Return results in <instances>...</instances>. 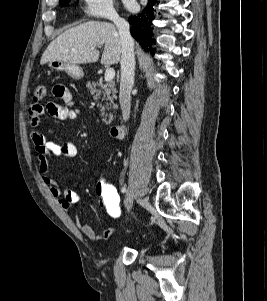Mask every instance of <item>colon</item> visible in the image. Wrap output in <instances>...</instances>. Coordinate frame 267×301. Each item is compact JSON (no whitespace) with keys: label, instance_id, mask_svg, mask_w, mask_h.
Segmentation results:
<instances>
[{"label":"colon","instance_id":"1","mask_svg":"<svg viewBox=\"0 0 267 301\" xmlns=\"http://www.w3.org/2000/svg\"><path fill=\"white\" fill-rule=\"evenodd\" d=\"M46 96V87L37 85L34 90V100L38 101ZM95 194L100 208L111 218L118 219L122 214L120 195L110 182L99 179L95 185Z\"/></svg>","mask_w":267,"mask_h":301}]
</instances>
